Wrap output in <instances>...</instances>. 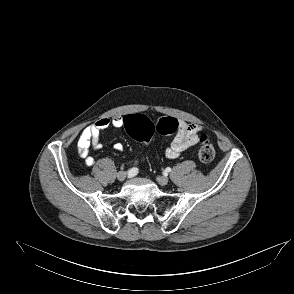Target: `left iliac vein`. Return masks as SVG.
I'll return each instance as SVG.
<instances>
[{
	"mask_svg": "<svg viewBox=\"0 0 294 294\" xmlns=\"http://www.w3.org/2000/svg\"><path fill=\"white\" fill-rule=\"evenodd\" d=\"M156 180H157V182H158L160 185H162V186L167 185L168 182H169V179H168L167 177H165V176H158V177L156 178Z\"/></svg>",
	"mask_w": 294,
	"mask_h": 294,
	"instance_id": "4c4485c4",
	"label": "left iliac vein"
}]
</instances>
